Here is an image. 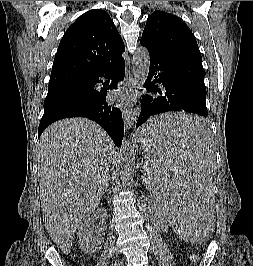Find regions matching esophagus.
<instances>
[{
  "mask_svg": "<svg viewBox=\"0 0 253 266\" xmlns=\"http://www.w3.org/2000/svg\"><path fill=\"white\" fill-rule=\"evenodd\" d=\"M133 84H134V78H133V75L129 69L126 71V74H125V87L131 88L133 86ZM122 116H123L125 128L127 130L131 129L133 127L134 121L136 119L135 111L133 109L124 108L122 110Z\"/></svg>",
  "mask_w": 253,
  "mask_h": 266,
  "instance_id": "obj_1",
  "label": "esophagus"
}]
</instances>
